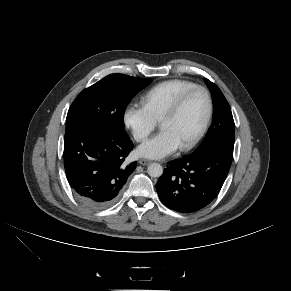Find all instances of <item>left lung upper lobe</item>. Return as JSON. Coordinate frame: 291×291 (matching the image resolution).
I'll use <instances>...</instances> for the list:
<instances>
[{
	"label": "left lung upper lobe",
	"mask_w": 291,
	"mask_h": 291,
	"mask_svg": "<svg viewBox=\"0 0 291 291\" xmlns=\"http://www.w3.org/2000/svg\"><path fill=\"white\" fill-rule=\"evenodd\" d=\"M205 82L211 91L214 103L213 122L205 139L195 152L217 145L233 148L235 124L230 106L221 90L214 83L208 79Z\"/></svg>",
	"instance_id": "1"
}]
</instances>
